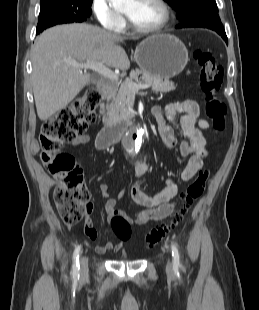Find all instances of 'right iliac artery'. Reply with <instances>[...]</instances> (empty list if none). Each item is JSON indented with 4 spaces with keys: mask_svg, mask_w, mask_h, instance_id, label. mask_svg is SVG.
<instances>
[{
    "mask_svg": "<svg viewBox=\"0 0 259 310\" xmlns=\"http://www.w3.org/2000/svg\"><path fill=\"white\" fill-rule=\"evenodd\" d=\"M81 246H77L73 253V265H72V276L74 280L79 279V256H80Z\"/></svg>",
    "mask_w": 259,
    "mask_h": 310,
    "instance_id": "obj_1",
    "label": "right iliac artery"
}]
</instances>
